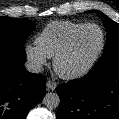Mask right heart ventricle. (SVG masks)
Here are the masks:
<instances>
[{
	"instance_id": "1",
	"label": "right heart ventricle",
	"mask_w": 119,
	"mask_h": 119,
	"mask_svg": "<svg viewBox=\"0 0 119 119\" xmlns=\"http://www.w3.org/2000/svg\"><path fill=\"white\" fill-rule=\"evenodd\" d=\"M84 25L74 21H52L38 35L36 45L47 57H54L69 37Z\"/></svg>"
}]
</instances>
